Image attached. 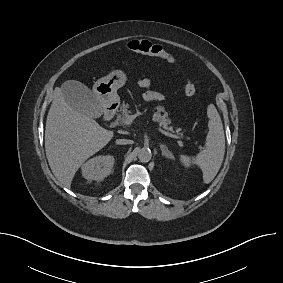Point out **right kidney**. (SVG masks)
I'll return each instance as SVG.
<instances>
[{"mask_svg": "<svg viewBox=\"0 0 283 283\" xmlns=\"http://www.w3.org/2000/svg\"><path fill=\"white\" fill-rule=\"evenodd\" d=\"M113 165V156H96L82 165V175L90 181H103L105 177L110 175Z\"/></svg>", "mask_w": 283, "mask_h": 283, "instance_id": "ca27d5eb", "label": "right kidney"}]
</instances>
